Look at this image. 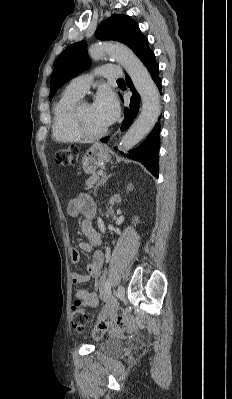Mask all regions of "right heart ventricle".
I'll return each mask as SVG.
<instances>
[{"label": "right heart ventricle", "mask_w": 232, "mask_h": 399, "mask_svg": "<svg viewBox=\"0 0 232 399\" xmlns=\"http://www.w3.org/2000/svg\"><path fill=\"white\" fill-rule=\"evenodd\" d=\"M79 96L65 94L52 107L51 133L55 141L62 144H75L83 139L73 127V113Z\"/></svg>", "instance_id": "1"}]
</instances>
